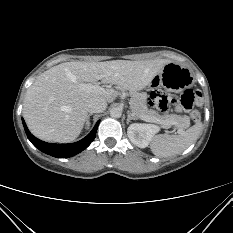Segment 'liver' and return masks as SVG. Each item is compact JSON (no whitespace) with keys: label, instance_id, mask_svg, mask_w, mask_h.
Wrapping results in <instances>:
<instances>
[{"label":"liver","instance_id":"obj_1","mask_svg":"<svg viewBox=\"0 0 233 233\" xmlns=\"http://www.w3.org/2000/svg\"><path fill=\"white\" fill-rule=\"evenodd\" d=\"M170 61L112 60L105 62H65L37 77L28 88L23 116L31 133L47 142L67 143L75 140L87 119L85 101L101 98L111 102L118 95L90 92L87 86L101 79L102 83L139 91L151 84ZM101 76V78H100Z\"/></svg>","mask_w":233,"mask_h":233}]
</instances>
